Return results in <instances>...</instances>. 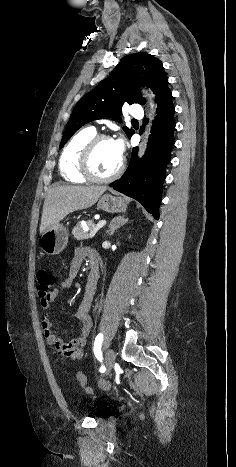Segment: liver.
I'll list each match as a JSON object with an SVG mask.
<instances>
[{"mask_svg": "<svg viewBox=\"0 0 236 467\" xmlns=\"http://www.w3.org/2000/svg\"><path fill=\"white\" fill-rule=\"evenodd\" d=\"M106 189L105 186L53 185L44 201L40 233L58 224L68 214L94 205Z\"/></svg>", "mask_w": 236, "mask_h": 467, "instance_id": "6515ba94", "label": "liver"}]
</instances>
